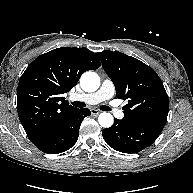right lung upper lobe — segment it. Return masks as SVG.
<instances>
[{"label": "right lung upper lobe", "instance_id": "cb5924a9", "mask_svg": "<svg viewBox=\"0 0 193 193\" xmlns=\"http://www.w3.org/2000/svg\"><path fill=\"white\" fill-rule=\"evenodd\" d=\"M101 65L86 48L62 47L37 57L21 76L17 89V112L32 143L44 138L78 108L63 94L80 76Z\"/></svg>", "mask_w": 193, "mask_h": 193}]
</instances>
